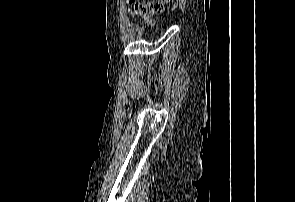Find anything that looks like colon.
Segmentation results:
<instances>
[{"label": "colon", "mask_w": 295, "mask_h": 202, "mask_svg": "<svg viewBox=\"0 0 295 202\" xmlns=\"http://www.w3.org/2000/svg\"><path fill=\"white\" fill-rule=\"evenodd\" d=\"M163 11L164 5L162 0L136 3L134 6L135 14L144 18L149 23V25L153 24L151 16L154 14H161Z\"/></svg>", "instance_id": "1"}]
</instances>
